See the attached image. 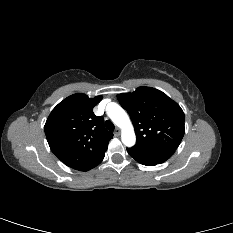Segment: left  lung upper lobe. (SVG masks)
Instances as JSON below:
<instances>
[{
  "label": "left lung upper lobe",
  "instance_id": "obj_1",
  "mask_svg": "<svg viewBox=\"0 0 233 233\" xmlns=\"http://www.w3.org/2000/svg\"><path fill=\"white\" fill-rule=\"evenodd\" d=\"M129 113L137 137L136 146L175 151L184 136V113L165 93L139 87L133 93L118 94Z\"/></svg>",
  "mask_w": 233,
  "mask_h": 233
}]
</instances>
